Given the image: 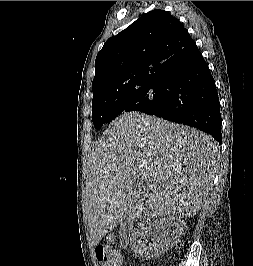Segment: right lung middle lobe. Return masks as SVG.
I'll use <instances>...</instances> for the list:
<instances>
[{
	"label": "right lung middle lobe",
	"mask_w": 253,
	"mask_h": 266,
	"mask_svg": "<svg viewBox=\"0 0 253 266\" xmlns=\"http://www.w3.org/2000/svg\"><path fill=\"white\" fill-rule=\"evenodd\" d=\"M164 82H150L130 91L115 94L92 104V121L97 129L112 121L123 110L146 114L157 110L163 101Z\"/></svg>",
	"instance_id": "right-lung-middle-lobe-1"
}]
</instances>
